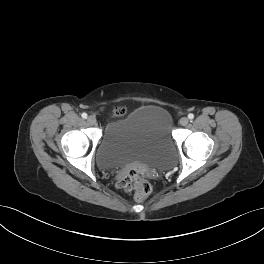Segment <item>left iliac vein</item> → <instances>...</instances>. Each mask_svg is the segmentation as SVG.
I'll return each mask as SVG.
<instances>
[{"label":"left iliac vein","instance_id":"obj_1","mask_svg":"<svg viewBox=\"0 0 264 264\" xmlns=\"http://www.w3.org/2000/svg\"><path fill=\"white\" fill-rule=\"evenodd\" d=\"M188 122H189V120H188L187 117H182V118H180V120H179V123H180V125H182V126H186V125L188 124Z\"/></svg>","mask_w":264,"mask_h":264}]
</instances>
